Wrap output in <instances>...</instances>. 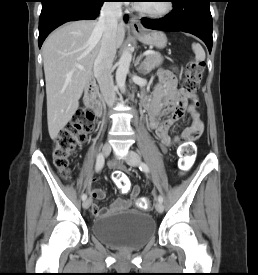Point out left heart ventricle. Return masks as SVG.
Here are the masks:
<instances>
[{
	"label": "left heart ventricle",
	"mask_w": 258,
	"mask_h": 275,
	"mask_svg": "<svg viewBox=\"0 0 258 275\" xmlns=\"http://www.w3.org/2000/svg\"><path fill=\"white\" fill-rule=\"evenodd\" d=\"M146 3H139L138 5L144 9L158 12L161 11L165 6V1H144Z\"/></svg>",
	"instance_id": "b2bd125f"
}]
</instances>
